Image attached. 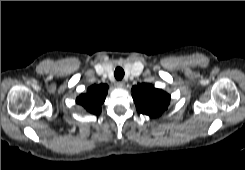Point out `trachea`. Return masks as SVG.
<instances>
[{
    "label": "trachea",
    "instance_id": "trachea-1",
    "mask_svg": "<svg viewBox=\"0 0 245 170\" xmlns=\"http://www.w3.org/2000/svg\"><path fill=\"white\" fill-rule=\"evenodd\" d=\"M114 77L118 81L122 80V78L124 77V70L121 67H117L114 71Z\"/></svg>",
    "mask_w": 245,
    "mask_h": 170
}]
</instances>
